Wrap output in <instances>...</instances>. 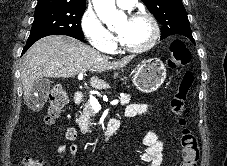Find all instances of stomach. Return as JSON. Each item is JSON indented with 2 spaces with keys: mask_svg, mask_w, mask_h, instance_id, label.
Returning a JSON list of instances; mask_svg holds the SVG:
<instances>
[{
  "mask_svg": "<svg viewBox=\"0 0 227 166\" xmlns=\"http://www.w3.org/2000/svg\"><path fill=\"white\" fill-rule=\"evenodd\" d=\"M166 78V68L158 58H151L141 62L133 76V84L144 93L156 91Z\"/></svg>",
  "mask_w": 227,
  "mask_h": 166,
  "instance_id": "obj_1",
  "label": "stomach"
}]
</instances>
